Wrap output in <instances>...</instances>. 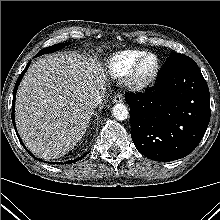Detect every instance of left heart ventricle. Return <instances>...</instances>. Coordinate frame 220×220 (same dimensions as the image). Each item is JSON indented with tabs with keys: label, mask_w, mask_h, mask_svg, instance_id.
Here are the masks:
<instances>
[{
	"label": "left heart ventricle",
	"mask_w": 220,
	"mask_h": 220,
	"mask_svg": "<svg viewBox=\"0 0 220 220\" xmlns=\"http://www.w3.org/2000/svg\"><path fill=\"white\" fill-rule=\"evenodd\" d=\"M153 66H154V59L152 57L146 58L140 68L141 74H147L148 72L151 71Z\"/></svg>",
	"instance_id": "b2bd125f"
}]
</instances>
